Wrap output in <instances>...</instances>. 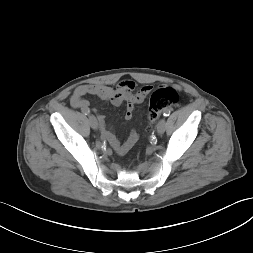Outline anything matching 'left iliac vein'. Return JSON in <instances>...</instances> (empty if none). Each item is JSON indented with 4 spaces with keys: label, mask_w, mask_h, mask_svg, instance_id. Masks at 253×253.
Masks as SVG:
<instances>
[{
    "label": "left iliac vein",
    "mask_w": 253,
    "mask_h": 253,
    "mask_svg": "<svg viewBox=\"0 0 253 253\" xmlns=\"http://www.w3.org/2000/svg\"><path fill=\"white\" fill-rule=\"evenodd\" d=\"M166 128V122L164 119L160 120L157 124V132L158 134H163Z\"/></svg>",
    "instance_id": "1"
}]
</instances>
